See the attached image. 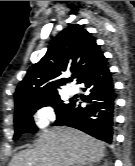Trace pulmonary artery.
Here are the masks:
<instances>
[{"label": "pulmonary artery", "mask_w": 135, "mask_h": 166, "mask_svg": "<svg viewBox=\"0 0 135 166\" xmlns=\"http://www.w3.org/2000/svg\"><path fill=\"white\" fill-rule=\"evenodd\" d=\"M76 92H77V88H75V87H71L68 90V94L71 96L74 95Z\"/></svg>", "instance_id": "obj_1"}]
</instances>
